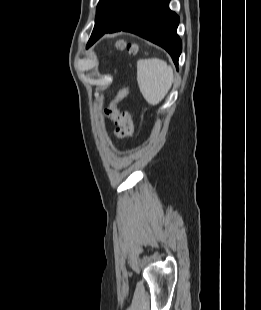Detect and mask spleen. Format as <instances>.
Listing matches in <instances>:
<instances>
[{
  "instance_id": "spleen-1",
  "label": "spleen",
  "mask_w": 261,
  "mask_h": 310,
  "mask_svg": "<svg viewBox=\"0 0 261 310\" xmlns=\"http://www.w3.org/2000/svg\"><path fill=\"white\" fill-rule=\"evenodd\" d=\"M137 82L145 100L150 105H157L172 86V68L156 58L138 60Z\"/></svg>"
}]
</instances>
